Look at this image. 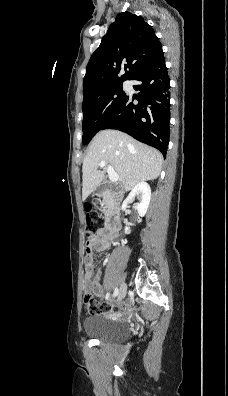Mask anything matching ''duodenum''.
<instances>
[{"instance_id":"obj_1","label":"duodenum","mask_w":228,"mask_h":396,"mask_svg":"<svg viewBox=\"0 0 228 396\" xmlns=\"http://www.w3.org/2000/svg\"><path fill=\"white\" fill-rule=\"evenodd\" d=\"M97 194L99 196H109V211L106 220V227L109 231L117 233L120 229V205L122 196L114 192L113 188L107 185H101Z\"/></svg>"}]
</instances>
